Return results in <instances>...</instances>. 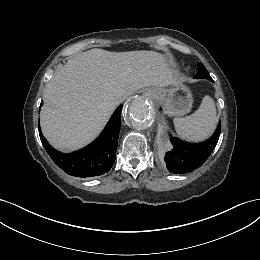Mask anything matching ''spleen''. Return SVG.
<instances>
[{
  "label": "spleen",
  "mask_w": 260,
  "mask_h": 260,
  "mask_svg": "<svg viewBox=\"0 0 260 260\" xmlns=\"http://www.w3.org/2000/svg\"><path fill=\"white\" fill-rule=\"evenodd\" d=\"M177 134L190 141H201L208 138L215 130L218 117L214 100L206 95L199 108L191 115L173 120Z\"/></svg>",
  "instance_id": "spleen-1"
}]
</instances>
